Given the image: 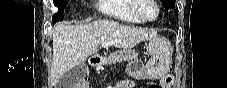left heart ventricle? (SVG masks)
Returning <instances> with one entry per match:
<instances>
[{"label": "left heart ventricle", "instance_id": "b2bd125f", "mask_svg": "<svg viewBox=\"0 0 227 88\" xmlns=\"http://www.w3.org/2000/svg\"><path fill=\"white\" fill-rule=\"evenodd\" d=\"M139 12L144 18H153L156 14V8L148 1L144 0L141 4Z\"/></svg>", "mask_w": 227, "mask_h": 88}]
</instances>
